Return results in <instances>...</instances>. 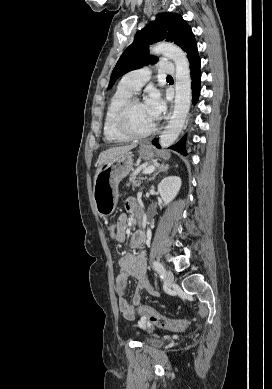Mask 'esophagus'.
I'll return each instance as SVG.
<instances>
[{"instance_id": "34e87169", "label": "esophagus", "mask_w": 272, "mask_h": 389, "mask_svg": "<svg viewBox=\"0 0 272 389\" xmlns=\"http://www.w3.org/2000/svg\"><path fill=\"white\" fill-rule=\"evenodd\" d=\"M172 109H173V105L171 106V109H170V114H171V112H172Z\"/></svg>"}]
</instances>
